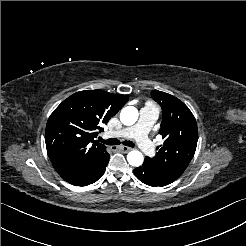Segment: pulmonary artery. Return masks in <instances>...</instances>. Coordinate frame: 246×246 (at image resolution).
Segmentation results:
<instances>
[{"mask_svg": "<svg viewBox=\"0 0 246 246\" xmlns=\"http://www.w3.org/2000/svg\"><path fill=\"white\" fill-rule=\"evenodd\" d=\"M160 110L156 106H146L141 109L138 123L125 127L118 132V136L131 137L139 144L140 148L149 155L154 154V149L148 140L149 129L159 117Z\"/></svg>", "mask_w": 246, "mask_h": 246, "instance_id": "obj_1", "label": "pulmonary artery"}]
</instances>
